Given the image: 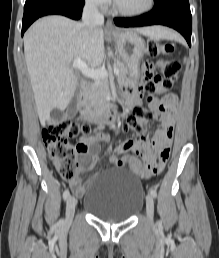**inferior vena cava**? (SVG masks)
Listing matches in <instances>:
<instances>
[{
  "label": "inferior vena cava",
  "instance_id": "602c4592",
  "mask_svg": "<svg viewBox=\"0 0 219 258\" xmlns=\"http://www.w3.org/2000/svg\"><path fill=\"white\" fill-rule=\"evenodd\" d=\"M82 21L89 31L104 24V16L98 11L94 1L88 0L86 2L83 9Z\"/></svg>",
  "mask_w": 219,
  "mask_h": 258
}]
</instances>
